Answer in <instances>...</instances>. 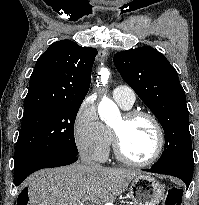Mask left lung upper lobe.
Wrapping results in <instances>:
<instances>
[{"instance_id":"1","label":"left lung upper lobe","mask_w":199,"mask_h":205,"mask_svg":"<svg viewBox=\"0 0 199 205\" xmlns=\"http://www.w3.org/2000/svg\"><path fill=\"white\" fill-rule=\"evenodd\" d=\"M113 60L124 81L154 113L164 129V151L153 167H177L193 174L189 112L175 68L163 54L150 46L118 52Z\"/></svg>"}]
</instances>
